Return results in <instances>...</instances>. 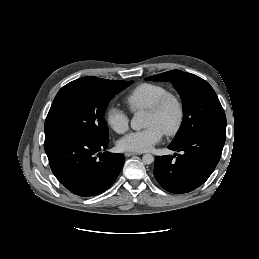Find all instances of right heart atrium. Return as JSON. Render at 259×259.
I'll return each instance as SVG.
<instances>
[{"label": "right heart atrium", "instance_id": "obj_1", "mask_svg": "<svg viewBox=\"0 0 259 259\" xmlns=\"http://www.w3.org/2000/svg\"><path fill=\"white\" fill-rule=\"evenodd\" d=\"M106 122L118 134L125 133L129 128L128 114L118 107H111L106 112Z\"/></svg>", "mask_w": 259, "mask_h": 259}]
</instances>
